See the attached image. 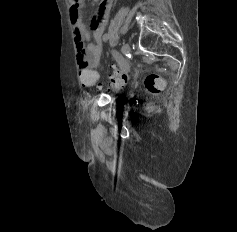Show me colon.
Segmentation results:
<instances>
[{
  "mask_svg": "<svg viewBox=\"0 0 237 232\" xmlns=\"http://www.w3.org/2000/svg\"><path fill=\"white\" fill-rule=\"evenodd\" d=\"M112 73L109 76L108 86L119 88L127 81V69L122 64L111 66ZM80 82L83 86H92L98 80V74L89 69H81L79 73ZM144 86L148 93L158 94L165 87L164 79L157 74H149L144 80Z\"/></svg>",
  "mask_w": 237,
  "mask_h": 232,
  "instance_id": "1",
  "label": "colon"
}]
</instances>
